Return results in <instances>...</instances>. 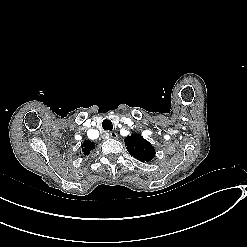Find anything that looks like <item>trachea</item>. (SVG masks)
Listing matches in <instances>:
<instances>
[{
	"label": "trachea",
	"instance_id": "1",
	"mask_svg": "<svg viewBox=\"0 0 247 247\" xmlns=\"http://www.w3.org/2000/svg\"><path fill=\"white\" fill-rule=\"evenodd\" d=\"M102 127L104 130H109V131L113 130V124L109 119H105L102 122Z\"/></svg>",
	"mask_w": 247,
	"mask_h": 247
}]
</instances>
